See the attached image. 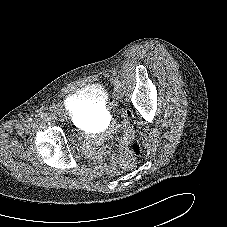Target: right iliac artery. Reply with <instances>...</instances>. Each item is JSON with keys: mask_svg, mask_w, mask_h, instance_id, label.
<instances>
[{"mask_svg": "<svg viewBox=\"0 0 227 227\" xmlns=\"http://www.w3.org/2000/svg\"><path fill=\"white\" fill-rule=\"evenodd\" d=\"M38 115H39V117H41V118L44 117V116H46V114H44V113H42V112L39 113Z\"/></svg>", "mask_w": 227, "mask_h": 227, "instance_id": "right-iliac-artery-1", "label": "right iliac artery"}]
</instances>
